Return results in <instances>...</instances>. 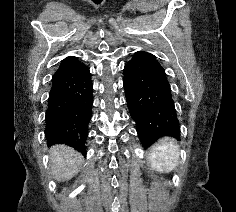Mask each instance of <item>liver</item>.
<instances>
[{
    "label": "liver",
    "mask_w": 236,
    "mask_h": 212,
    "mask_svg": "<svg viewBox=\"0 0 236 212\" xmlns=\"http://www.w3.org/2000/svg\"><path fill=\"white\" fill-rule=\"evenodd\" d=\"M49 154L51 170L58 181L72 178L78 173L83 162L78 152L64 145L51 147Z\"/></svg>",
    "instance_id": "liver-1"
}]
</instances>
